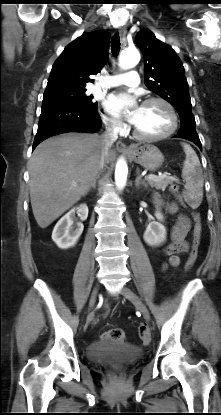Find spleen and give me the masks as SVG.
Here are the masks:
<instances>
[{"label": "spleen", "mask_w": 221, "mask_h": 415, "mask_svg": "<svg viewBox=\"0 0 221 415\" xmlns=\"http://www.w3.org/2000/svg\"><path fill=\"white\" fill-rule=\"evenodd\" d=\"M182 146L186 154L182 169V177L186 182L184 198L192 208H197L203 199V173L199 158L192 147L186 143H182Z\"/></svg>", "instance_id": "spleen-1"}]
</instances>
